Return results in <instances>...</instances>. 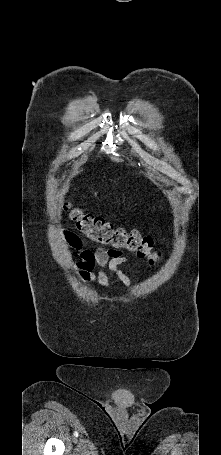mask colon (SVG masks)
I'll return each mask as SVG.
<instances>
[{
	"label": "colon",
	"instance_id": "5ec220e1",
	"mask_svg": "<svg viewBox=\"0 0 221 455\" xmlns=\"http://www.w3.org/2000/svg\"><path fill=\"white\" fill-rule=\"evenodd\" d=\"M64 209L77 229L89 240L114 250H126L148 260L150 264L159 261L161 253L154 248L151 237L143 236L137 230L116 228L101 218L85 213L70 202H65Z\"/></svg>",
	"mask_w": 221,
	"mask_h": 455
}]
</instances>
